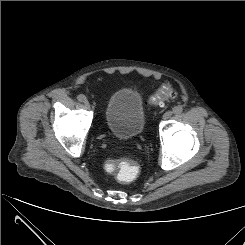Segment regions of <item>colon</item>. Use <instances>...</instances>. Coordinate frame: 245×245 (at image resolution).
Returning <instances> with one entry per match:
<instances>
[{"mask_svg": "<svg viewBox=\"0 0 245 245\" xmlns=\"http://www.w3.org/2000/svg\"><path fill=\"white\" fill-rule=\"evenodd\" d=\"M176 96L175 91L168 85L162 86L150 101L151 104H157L165 99H172ZM105 171L112 174L121 183H130L136 175V166L130 160H124L119 163L107 162Z\"/></svg>", "mask_w": 245, "mask_h": 245, "instance_id": "1", "label": "colon"}]
</instances>
